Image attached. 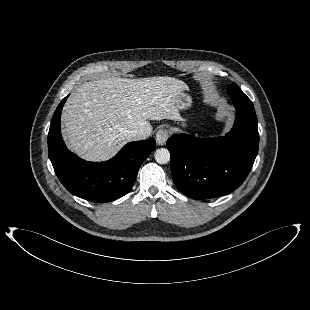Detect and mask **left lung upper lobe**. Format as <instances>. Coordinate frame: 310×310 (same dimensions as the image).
Listing matches in <instances>:
<instances>
[{
	"label": "left lung upper lobe",
	"mask_w": 310,
	"mask_h": 310,
	"mask_svg": "<svg viewBox=\"0 0 310 310\" xmlns=\"http://www.w3.org/2000/svg\"><path fill=\"white\" fill-rule=\"evenodd\" d=\"M228 94L231 95V96H234V95H241V94H244L242 92V90L235 84L233 83L229 88H228Z\"/></svg>",
	"instance_id": "obj_1"
}]
</instances>
